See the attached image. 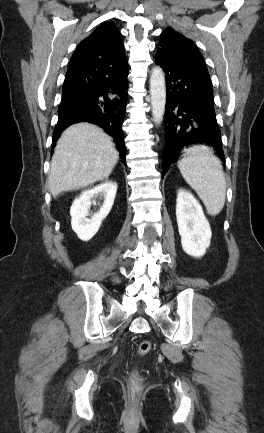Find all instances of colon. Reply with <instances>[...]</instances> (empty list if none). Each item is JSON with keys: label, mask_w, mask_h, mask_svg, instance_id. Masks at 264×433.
I'll list each match as a JSON object with an SVG mask.
<instances>
[{"label": "colon", "mask_w": 264, "mask_h": 433, "mask_svg": "<svg viewBox=\"0 0 264 433\" xmlns=\"http://www.w3.org/2000/svg\"><path fill=\"white\" fill-rule=\"evenodd\" d=\"M151 349H152V344H151V342L148 341V340H143V341H141V342L138 344V347H137V354H138L139 356H145V355H147V354L151 351ZM131 383H132L134 386H136V387L139 386V384H140V376H139L138 373L133 372V373L131 374Z\"/></svg>", "instance_id": "colon-1"}]
</instances>
